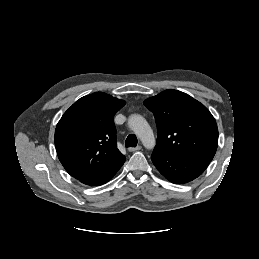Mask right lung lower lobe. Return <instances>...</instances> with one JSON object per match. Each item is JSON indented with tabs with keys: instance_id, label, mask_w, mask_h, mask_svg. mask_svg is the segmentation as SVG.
Returning <instances> with one entry per match:
<instances>
[{
	"instance_id": "1",
	"label": "right lung lower lobe",
	"mask_w": 259,
	"mask_h": 259,
	"mask_svg": "<svg viewBox=\"0 0 259 259\" xmlns=\"http://www.w3.org/2000/svg\"><path fill=\"white\" fill-rule=\"evenodd\" d=\"M123 163H121L120 165H118L117 167L112 169L110 172H108V173H106V174H104L100 177L88 179V180H83L81 182L86 184V185H92V186L102 185V184L108 182L117 173V171L121 168Z\"/></svg>"
}]
</instances>
